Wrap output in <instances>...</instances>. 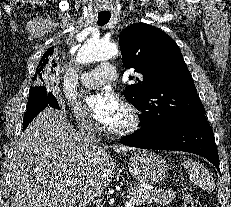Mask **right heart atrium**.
<instances>
[{
    "label": "right heart atrium",
    "instance_id": "1",
    "mask_svg": "<svg viewBox=\"0 0 231 207\" xmlns=\"http://www.w3.org/2000/svg\"><path fill=\"white\" fill-rule=\"evenodd\" d=\"M63 104L71 110L80 128L84 130L95 129L96 125L94 121L91 119V117L86 113V111L82 107L76 104L72 99L66 98L63 101Z\"/></svg>",
    "mask_w": 231,
    "mask_h": 207
}]
</instances>
